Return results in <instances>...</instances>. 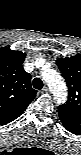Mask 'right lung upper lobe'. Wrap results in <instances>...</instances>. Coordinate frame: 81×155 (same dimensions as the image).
Listing matches in <instances>:
<instances>
[{
	"label": "right lung upper lobe",
	"instance_id": "1",
	"mask_svg": "<svg viewBox=\"0 0 81 155\" xmlns=\"http://www.w3.org/2000/svg\"><path fill=\"white\" fill-rule=\"evenodd\" d=\"M26 54L0 49V123L18 118L33 101L37 91L31 87V75L23 69Z\"/></svg>",
	"mask_w": 81,
	"mask_h": 155
}]
</instances>
